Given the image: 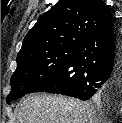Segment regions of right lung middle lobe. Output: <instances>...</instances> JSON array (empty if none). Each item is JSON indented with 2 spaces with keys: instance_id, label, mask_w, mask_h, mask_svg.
I'll return each instance as SVG.
<instances>
[{
  "instance_id": "1",
  "label": "right lung middle lobe",
  "mask_w": 122,
  "mask_h": 123,
  "mask_svg": "<svg viewBox=\"0 0 122 123\" xmlns=\"http://www.w3.org/2000/svg\"><path fill=\"white\" fill-rule=\"evenodd\" d=\"M76 49H61L17 60V69L11 77V92L7 104L29 93L46 80L74 55Z\"/></svg>"
}]
</instances>
